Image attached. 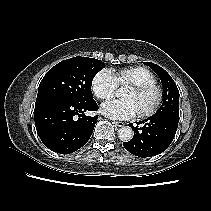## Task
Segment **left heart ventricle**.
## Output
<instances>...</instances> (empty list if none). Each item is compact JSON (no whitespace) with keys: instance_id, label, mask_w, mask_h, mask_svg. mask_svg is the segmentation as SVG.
Returning a JSON list of instances; mask_svg holds the SVG:
<instances>
[{"instance_id":"b2bd125f","label":"left heart ventricle","mask_w":211,"mask_h":211,"mask_svg":"<svg viewBox=\"0 0 211 211\" xmlns=\"http://www.w3.org/2000/svg\"><path fill=\"white\" fill-rule=\"evenodd\" d=\"M123 96L125 99L134 101L139 112L148 109L155 100V93L153 91L140 93L132 87H129Z\"/></svg>"}]
</instances>
